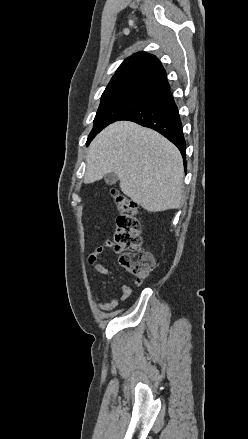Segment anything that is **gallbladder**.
<instances>
[{"label":"gallbladder","mask_w":248,"mask_h":439,"mask_svg":"<svg viewBox=\"0 0 248 439\" xmlns=\"http://www.w3.org/2000/svg\"><path fill=\"white\" fill-rule=\"evenodd\" d=\"M104 179L108 185H113L118 181L117 175L113 172L106 174Z\"/></svg>","instance_id":"bac80fb5"}]
</instances>
